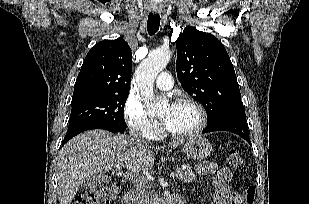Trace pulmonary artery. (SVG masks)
<instances>
[{
	"mask_svg": "<svg viewBox=\"0 0 309 204\" xmlns=\"http://www.w3.org/2000/svg\"><path fill=\"white\" fill-rule=\"evenodd\" d=\"M155 86L161 90H169L173 87V81L169 73H161L155 80Z\"/></svg>",
	"mask_w": 309,
	"mask_h": 204,
	"instance_id": "pulmonary-artery-1",
	"label": "pulmonary artery"
}]
</instances>
